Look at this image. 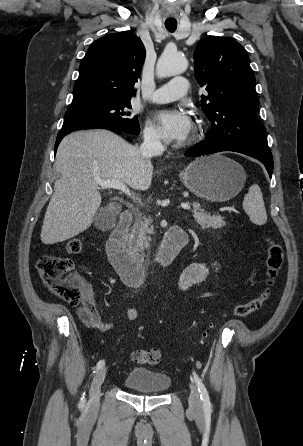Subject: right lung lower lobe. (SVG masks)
I'll list each match as a JSON object with an SVG mask.
<instances>
[{"instance_id": "obj_1", "label": "right lung lower lobe", "mask_w": 303, "mask_h": 446, "mask_svg": "<svg viewBox=\"0 0 303 446\" xmlns=\"http://www.w3.org/2000/svg\"><path fill=\"white\" fill-rule=\"evenodd\" d=\"M80 129H107V130H111L117 134L125 133V131L122 130L120 127H118L114 124H111V123H106V122H101V121L83 122V123L77 124L75 126H72L68 129L61 130L58 133L56 143H55V151L64 136H66L67 134H69L73 131L80 130Z\"/></svg>"}]
</instances>
